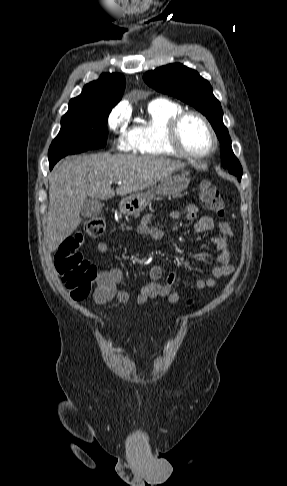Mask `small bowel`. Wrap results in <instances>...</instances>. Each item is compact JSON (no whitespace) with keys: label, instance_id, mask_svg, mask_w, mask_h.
I'll list each match as a JSON object with an SVG mask.
<instances>
[{"label":"small bowel","instance_id":"c3829d8e","mask_svg":"<svg viewBox=\"0 0 287 486\" xmlns=\"http://www.w3.org/2000/svg\"><path fill=\"white\" fill-rule=\"evenodd\" d=\"M159 214L148 213L144 215L137 227L136 231L150 237L153 240H160L163 236L162 231L151 225V220ZM166 217L170 219H179L185 217L188 220H196L195 230L197 232H205L214 227V221L209 216H202L198 218V207L196 205H189L185 211L173 210L168 212ZM219 234L213 238V243L218 251L217 262L218 265L212 269L211 276L207 279H198L195 283L197 289L213 288L217 285V281L229 276L233 273L234 268L231 263V253L229 244L233 237L231 226L227 221L218 222ZM108 244L105 241H100L97 245L99 252H107ZM150 281L144 283L140 287V291L136 297V303L142 305L148 300L157 301L160 298H167L172 303L180 301V295L173 291L177 275L175 272L168 273L163 281V269L159 265H154L149 271ZM123 281V272L118 268H106L100 271L97 277V287L93 292V301L98 304H104L116 298L120 303L126 304L130 301L129 293L118 288V285Z\"/></svg>","mask_w":287,"mask_h":486}]
</instances>
